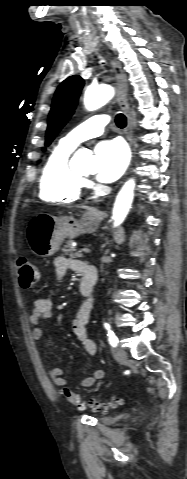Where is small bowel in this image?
I'll use <instances>...</instances> for the list:
<instances>
[{"mask_svg": "<svg viewBox=\"0 0 187 479\" xmlns=\"http://www.w3.org/2000/svg\"><path fill=\"white\" fill-rule=\"evenodd\" d=\"M54 268L58 280H61L68 271H74L82 273L85 276L87 269L93 267L87 265L83 261L68 258L64 256H58L54 259ZM92 311V301L85 300L80 305L75 318L72 322V330L80 341L83 350L87 355H95L97 348L93 340L87 336L86 327ZM53 316V300L50 297L42 296L35 300L31 313L29 315V323L31 329V339L33 342L38 343L42 339L41 323L43 320L49 319ZM49 376L52 382L56 386H65L66 380L63 377V371L57 366L49 365L47 367ZM106 372L101 369L94 370L92 374L84 378L80 382L82 388H88L93 386L97 381L104 379Z\"/></svg>", "mask_w": 187, "mask_h": 479, "instance_id": "small-bowel-1", "label": "small bowel"}]
</instances>
